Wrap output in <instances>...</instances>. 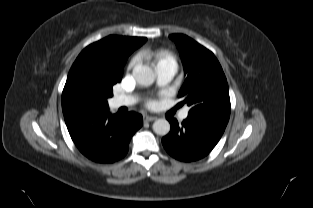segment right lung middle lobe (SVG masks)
<instances>
[{"label": "right lung middle lobe", "mask_w": 313, "mask_h": 208, "mask_svg": "<svg viewBox=\"0 0 313 208\" xmlns=\"http://www.w3.org/2000/svg\"><path fill=\"white\" fill-rule=\"evenodd\" d=\"M122 74L80 77L72 85V97L85 104L108 106L107 99L113 96V85L121 81Z\"/></svg>", "instance_id": "obj_1"}]
</instances>
